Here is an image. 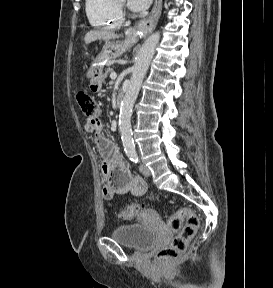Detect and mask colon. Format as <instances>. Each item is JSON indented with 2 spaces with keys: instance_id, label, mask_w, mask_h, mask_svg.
Here are the masks:
<instances>
[{
  "instance_id": "obj_1",
  "label": "colon",
  "mask_w": 273,
  "mask_h": 288,
  "mask_svg": "<svg viewBox=\"0 0 273 288\" xmlns=\"http://www.w3.org/2000/svg\"><path fill=\"white\" fill-rule=\"evenodd\" d=\"M77 101L85 115L89 117L98 115V104L91 95L80 92L77 95ZM139 209L138 205H128L121 212V216L126 220H132L138 214ZM167 226L177 234L168 247L161 249L157 253L156 262L160 265H168L186 252L199 227V217L191 208L182 207L167 218Z\"/></svg>"
}]
</instances>
